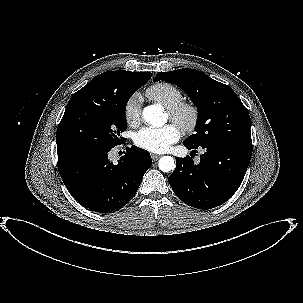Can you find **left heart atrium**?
<instances>
[{"instance_id":"obj_1","label":"left heart atrium","mask_w":303,"mask_h":303,"mask_svg":"<svg viewBox=\"0 0 303 303\" xmlns=\"http://www.w3.org/2000/svg\"><path fill=\"white\" fill-rule=\"evenodd\" d=\"M180 138L179 128L169 123L159 128L144 127L134 136V143L144 150L162 153Z\"/></svg>"}]
</instances>
